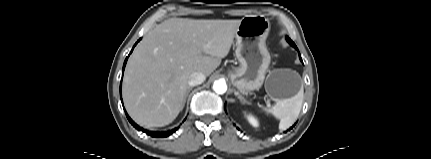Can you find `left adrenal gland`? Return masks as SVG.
<instances>
[{
  "label": "left adrenal gland",
  "mask_w": 431,
  "mask_h": 159,
  "mask_svg": "<svg viewBox=\"0 0 431 159\" xmlns=\"http://www.w3.org/2000/svg\"><path fill=\"white\" fill-rule=\"evenodd\" d=\"M238 98L240 99V101H241L243 104H249V102H248V101H246V100L244 99V97H242L241 95H238Z\"/></svg>",
  "instance_id": "1"
}]
</instances>
